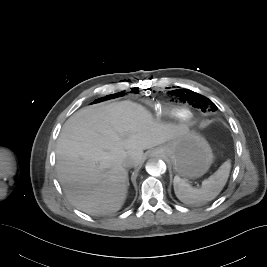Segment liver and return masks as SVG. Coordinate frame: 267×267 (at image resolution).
Wrapping results in <instances>:
<instances>
[{
  "mask_svg": "<svg viewBox=\"0 0 267 267\" xmlns=\"http://www.w3.org/2000/svg\"><path fill=\"white\" fill-rule=\"evenodd\" d=\"M186 125L161 123L143 106L121 101L75 112L57 141L56 171L70 202L92 215L117 212L127 197L128 171L144 161L143 150L171 141Z\"/></svg>",
  "mask_w": 267,
  "mask_h": 267,
  "instance_id": "6515ba94",
  "label": "liver"
}]
</instances>
